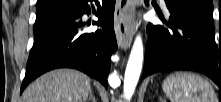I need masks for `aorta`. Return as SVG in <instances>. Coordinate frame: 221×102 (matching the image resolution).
<instances>
[{
    "mask_svg": "<svg viewBox=\"0 0 221 102\" xmlns=\"http://www.w3.org/2000/svg\"><path fill=\"white\" fill-rule=\"evenodd\" d=\"M143 43L138 35L134 41L124 76V97L130 100L138 83L143 64Z\"/></svg>",
    "mask_w": 221,
    "mask_h": 102,
    "instance_id": "obj_1",
    "label": "aorta"
}]
</instances>
